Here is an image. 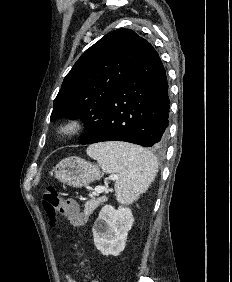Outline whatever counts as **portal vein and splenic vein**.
Returning <instances> with one entry per match:
<instances>
[{"label":"portal vein and splenic vein","instance_id":"portal-vein-and-splenic-vein-1","mask_svg":"<svg viewBox=\"0 0 232 282\" xmlns=\"http://www.w3.org/2000/svg\"><path fill=\"white\" fill-rule=\"evenodd\" d=\"M116 178H117V175L111 176V179H116ZM104 191H105V186H97L95 190L89 194V196L97 195V194L103 193Z\"/></svg>","mask_w":232,"mask_h":282}]
</instances>
